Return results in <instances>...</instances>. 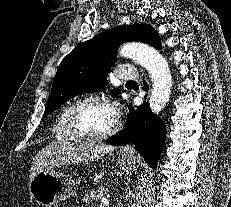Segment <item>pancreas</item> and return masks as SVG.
Listing matches in <instances>:
<instances>
[{"mask_svg":"<svg viewBox=\"0 0 231 207\" xmlns=\"http://www.w3.org/2000/svg\"><path fill=\"white\" fill-rule=\"evenodd\" d=\"M103 197H109L108 189L102 186L92 188L87 191L85 194L83 201L85 203L92 204L94 202H99Z\"/></svg>","mask_w":231,"mask_h":207,"instance_id":"1","label":"pancreas"}]
</instances>
